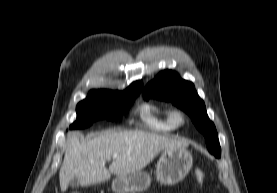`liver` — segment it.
<instances>
[{
  "label": "liver",
  "mask_w": 277,
  "mask_h": 193,
  "mask_svg": "<svg viewBox=\"0 0 277 193\" xmlns=\"http://www.w3.org/2000/svg\"><path fill=\"white\" fill-rule=\"evenodd\" d=\"M80 134L68 135L67 148L59 172L60 188L65 192L71 180L88 186L110 179L111 174L127 176L146 167L161 151L185 148L188 142L156 133L108 130L83 143ZM113 155L109 169L106 161Z\"/></svg>",
  "instance_id": "obj_1"
}]
</instances>
